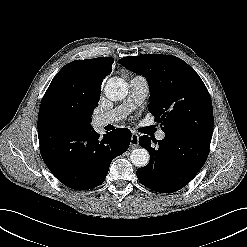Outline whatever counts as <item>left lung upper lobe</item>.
<instances>
[{"instance_id":"left-lung-upper-lobe-1","label":"left lung upper lobe","mask_w":247,"mask_h":247,"mask_svg":"<svg viewBox=\"0 0 247 247\" xmlns=\"http://www.w3.org/2000/svg\"><path fill=\"white\" fill-rule=\"evenodd\" d=\"M118 62L147 79L151 93L148 110L165 134L211 140V98L191 66L175 56L159 54L124 57Z\"/></svg>"}]
</instances>
